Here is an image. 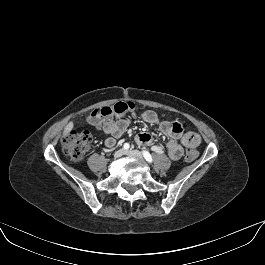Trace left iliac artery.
<instances>
[{
    "label": "left iliac artery",
    "mask_w": 265,
    "mask_h": 265,
    "mask_svg": "<svg viewBox=\"0 0 265 265\" xmlns=\"http://www.w3.org/2000/svg\"><path fill=\"white\" fill-rule=\"evenodd\" d=\"M142 154L144 156V158L146 159V161H148L149 163H152L153 159L152 156L150 155V153L148 151H142Z\"/></svg>",
    "instance_id": "1"
}]
</instances>
